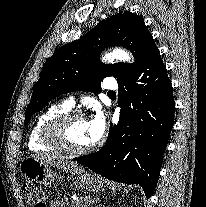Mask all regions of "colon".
<instances>
[{"mask_svg":"<svg viewBox=\"0 0 206 207\" xmlns=\"http://www.w3.org/2000/svg\"><path fill=\"white\" fill-rule=\"evenodd\" d=\"M24 194L26 200L31 203L33 207H46L35 184L24 182Z\"/></svg>","mask_w":206,"mask_h":207,"instance_id":"5ec220e1","label":"colon"}]
</instances>
